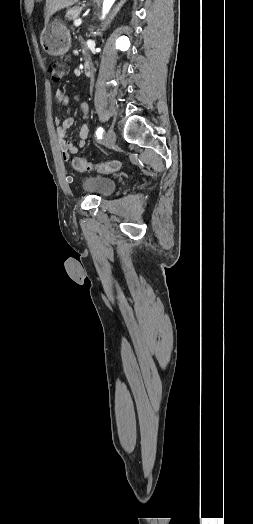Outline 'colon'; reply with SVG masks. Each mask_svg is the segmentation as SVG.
<instances>
[{"mask_svg":"<svg viewBox=\"0 0 253 524\" xmlns=\"http://www.w3.org/2000/svg\"><path fill=\"white\" fill-rule=\"evenodd\" d=\"M49 71L54 82H59L67 73L65 65L58 61H53L49 64ZM73 167L78 171L97 170L102 173H111L120 169L121 163L117 160L92 163L83 158H74L72 161Z\"/></svg>","mask_w":253,"mask_h":524,"instance_id":"5ec220e1","label":"colon"}]
</instances>
